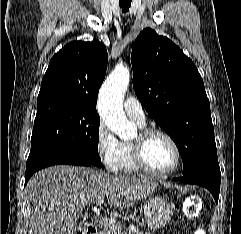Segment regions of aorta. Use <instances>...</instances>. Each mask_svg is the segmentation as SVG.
<instances>
[{
  "mask_svg": "<svg viewBox=\"0 0 241 234\" xmlns=\"http://www.w3.org/2000/svg\"><path fill=\"white\" fill-rule=\"evenodd\" d=\"M129 80V69L123 65H117L104 81L99 93L100 117L121 139L131 138L137 131L136 125L126 118L122 106Z\"/></svg>",
  "mask_w": 241,
  "mask_h": 234,
  "instance_id": "762f6f07",
  "label": "aorta"
}]
</instances>
